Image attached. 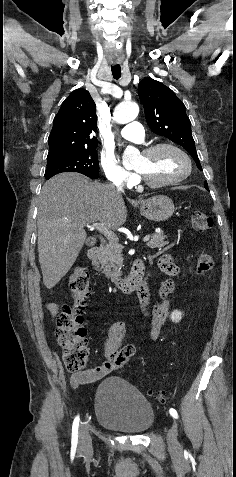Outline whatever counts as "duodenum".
Returning <instances> with one entry per match:
<instances>
[{
  "label": "duodenum",
  "instance_id": "1",
  "mask_svg": "<svg viewBox=\"0 0 236 477\" xmlns=\"http://www.w3.org/2000/svg\"><path fill=\"white\" fill-rule=\"evenodd\" d=\"M100 256V249L93 246L88 250V257L93 262H98ZM145 277V261L143 259H136L133 262L129 275L125 278H116L114 284L117 289L123 294H130L134 291H140L146 285Z\"/></svg>",
  "mask_w": 236,
  "mask_h": 477
}]
</instances>
